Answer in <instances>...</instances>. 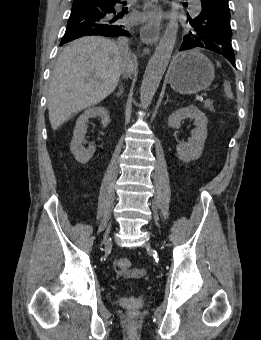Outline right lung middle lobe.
I'll list each match as a JSON object with an SVG mask.
<instances>
[{
  "mask_svg": "<svg viewBox=\"0 0 261 340\" xmlns=\"http://www.w3.org/2000/svg\"><path fill=\"white\" fill-rule=\"evenodd\" d=\"M69 41H72V39L63 40V38H62V40H61V44H60V45H63L64 43H67V42H69Z\"/></svg>",
  "mask_w": 261,
  "mask_h": 340,
  "instance_id": "1",
  "label": "right lung middle lobe"
}]
</instances>
